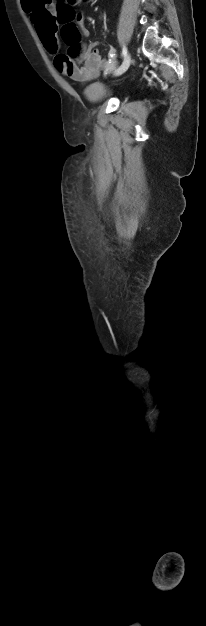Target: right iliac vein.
I'll return each instance as SVG.
<instances>
[{
  "label": "right iliac vein",
  "instance_id": "right-iliac-vein-1",
  "mask_svg": "<svg viewBox=\"0 0 206 626\" xmlns=\"http://www.w3.org/2000/svg\"><path fill=\"white\" fill-rule=\"evenodd\" d=\"M130 63H131V57L130 55H127L122 65L115 71L114 75L115 76L122 75L124 72L127 71V69L130 66Z\"/></svg>",
  "mask_w": 206,
  "mask_h": 626
}]
</instances>
